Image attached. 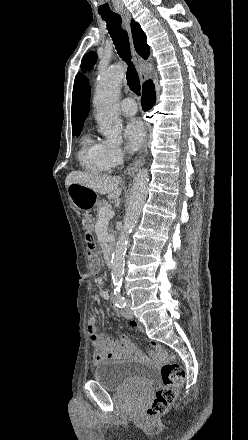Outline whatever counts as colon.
Instances as JSON below:
<instances>
[{"label": "colon", "instance_id": "1", "mask_svg": "<svg viewBox=\"0 0 248 440\" xmlns=\"http://www.w3.org/2000/svg\"><path fill=\"white\" fill-rule=\"evenodd\" d=\"M86 230V239L89 249V263L93 271H97L100 261L94 252V242L91 237V229L93 226L92 219L85 217L82 221ZM162 385L155 393L152 403L146 410L149 418H156L165 414L174 403L179 389L183 385L185 379L184 368L174 361H169L161 367Z\"/></svg>", "mask_w": 248, "mask_h": 440}]
</instances>
